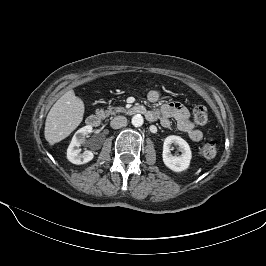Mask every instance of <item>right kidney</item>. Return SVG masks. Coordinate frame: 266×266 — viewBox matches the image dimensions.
Listing matches in <instances>:
<instances>
[{"mask_svg":"<svg viewBox=\"0 0 266 266\" xmlns=\"http://www.w3.org/2000/svg\"><path fill=\"white\" fill-rule=\"evenodd\" d=\"M93 132L91 125L80 128L73 136L71 143L67 149V159L73 164H85L94 158L92 151H85L81 153L79 148L84 143L88 134Z\"/></svg>","mask_w":266,"mask_h":266,"instance_id":"ca27d5eb","label":"right kidney"}]
</instances>
